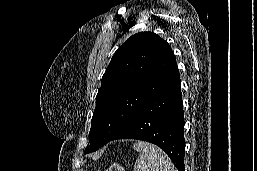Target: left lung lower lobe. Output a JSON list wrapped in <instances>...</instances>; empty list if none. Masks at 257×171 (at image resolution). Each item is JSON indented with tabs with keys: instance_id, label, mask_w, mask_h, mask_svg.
<instances>
[{
	"instance_id": "0a47b994",
	"label": "left lung lower lobe",
	"mask_w": 257,
	"mask_h": 171,
	"mask_svg": "<svg viewBox=\"0 0 257 171\" xmlns=\"http://www.w3.org/2000/svg\"><path fill=\"white\" fill-rule=\"evenodd\" d=\"M183 130L184 112L180 75L175 62L155 94L132 121L110 141L138 139L151 142L166 152L178 171H185Z\"/></svg>"
}]
</instances>
